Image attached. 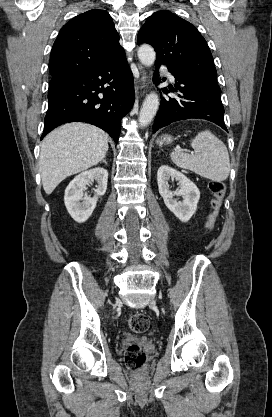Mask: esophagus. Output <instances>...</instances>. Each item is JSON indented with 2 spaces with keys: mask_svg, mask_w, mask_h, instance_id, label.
<instances>
[{
  "mask_svg": "<svg viewBox=\"0 0 272 417\" xmlns=\"http://www.w3.org/2000/svg\"><path fill=\"white\" fill-rule=\"evenodd\" d=\"M142 73V77L141 80L139 81V83L136 85L135 90L136 92H138L139 89L145 88L148 82V77L146 75V72L142 69V67H139Z\"/></svg>",
  "mask_w": 272,
  "mask_h": 417,
  "instance_id": "obj_1",
  "label": "esophagus"
}]
</instances>
